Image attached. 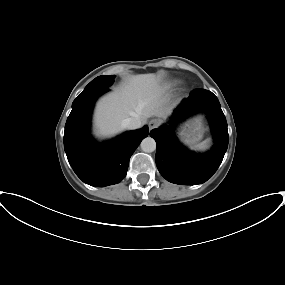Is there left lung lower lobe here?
Listing matches in <instances>:
<instances>
[{"label":"left lung lower lobe","mask_w":285,"mask_h":285,"mask_svg":"<svg viewBox=\"0 0 285 285\" xmlns=\"http://www.w3.org/2000/svg\"><path fill=\"white\" fill-rule=\"evenodd\" d=\"M199 111L209 117L215 141L211 151L202 155L187 150L174 135L177 122ZM169 124L150 132L157 143L155 160L159 172L175 184L204 183L216 172L228 147L227 122L217 97L208 90H194L174 110Z\"/></svg>","instance_id":"1"}]
</instances>
